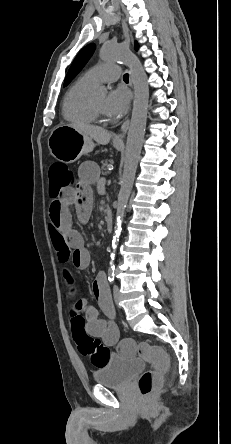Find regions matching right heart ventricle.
Segmentation results:
<instances>
[{
	"mask_svg": "<svg viewBox=\"0 0 231 444\" xmlns=\"http://www.w3.org/2000/svg\"><path fill=\"white\" fill-rule=\"evenodd\" d=\"M94 84L84 76L79 78L68 90L63 100V116L72 123L91 124L94 116L89 99V91Z\"/></svg>",
	"mask_w": 231,
	"mask_h": 444,
	"instance_id": "right-heart-ventricle-1",
	"label": "right heart ventricle"
}]
</instances>
